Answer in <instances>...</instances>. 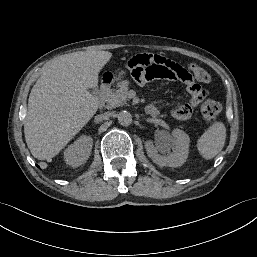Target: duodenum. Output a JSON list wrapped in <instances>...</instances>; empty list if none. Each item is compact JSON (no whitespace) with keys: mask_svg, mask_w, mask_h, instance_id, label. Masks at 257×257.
Returning a JSON list of instances; mask_svg holds the SVG:
<instances>
[{"mask_svg":"<svg viewBox=\"0 0 257 257\" xmlns=\"http://www.w3.org/2000/svg\"><path fill=\"white\" fill-rule=\"evenodd\" d=\"M112 83H113V80L111 76L104 78V80L102 81L100 92H99V98H98L99 107H102L105 101L107 100L112 87ZM146 113L149 115L155 116L157 115L158 110L153 105H148L146 107Z\"/></svg>","mask_w":257,"mask_h":257,"instance_id":"1","label":"duodenum"}]
</instances>
